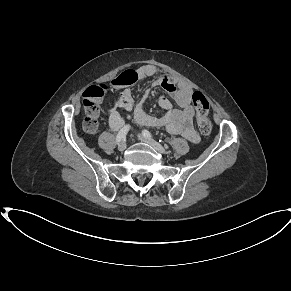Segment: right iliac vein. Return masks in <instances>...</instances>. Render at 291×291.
Masks as SVG:
<instances>
[{"label":"right iliac vein","instance_id":"right-iliac-vein-1","mask_svg":"<svg viewBox=\"0 0 291 291\" xmlns=\"http://www.w3.org/2000/svg\"><path fill=\"white\" fill-rule=\"evenodd\" d=\"M126 149V142L125 141H121L118 143V150L119 151H124Z\"/></svg>","mask_w":291,"mask_h":291}]
</instances>
